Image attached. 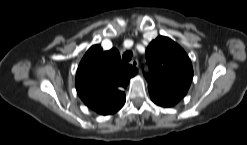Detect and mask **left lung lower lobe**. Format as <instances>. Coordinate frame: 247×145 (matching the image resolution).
I'll return each instance as SVG.
<instances>
[{
  "instance_id": "obj_1",
  "label": "left lung lower lobe",
  "mask_w": 247,
  "mask_h": 145,
  "mask_svg": "<svg viewBox=\"0 0 247 145\" xmlns=\"http://www.w3.org/2000/svg\"><path fill=\"white\" fill-rule=\"evenodd\" d=\"M149 93H150V97L152 101L155 104L162 106V107H172L180 100L179 98L175 96H171L169 94H165L163 92L152 90V89H149Z\"/></svg>"
}]
</instances>
